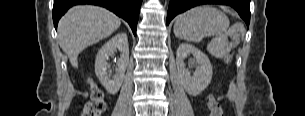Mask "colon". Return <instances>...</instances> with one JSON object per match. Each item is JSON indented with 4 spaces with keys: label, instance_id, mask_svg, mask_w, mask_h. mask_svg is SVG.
<instances>
[{
    "label": "colon",
    "instance_id": "obj_1",
    "mask_svg": "<svg viewBox=\"0 0 305 116\" xmlns=\"http://www.w3.org/2000/svg\"><path fill=\"white\" fill-rule=\"evenodd\" d=\"M91 99L83 108L81 116H101L107 109L104 92L94 83L90 85ZM210 116H223L222 108L214 95L208 98Z\"/></svg>",
    "mask_w": 305,
    "mask_h": 116
}]
</instances>
